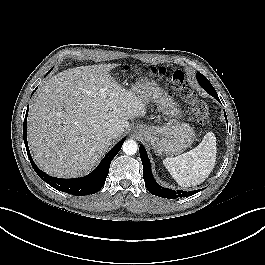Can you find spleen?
Segmentation results:
<instances>
[{
	"label": "spleen",
	"mask_w": 265,
	"mask_h": 265,
	"mask_svg": "<svg viewBox=\"0 0 265 265\" xmlns=\"http://www.w3.org/2000/svg\"><path fill=\"white\" fill-rule=\"evenodd\" d=\"M216 153V137L213 132H208L197 147L177 157L166 158L163 164L180 186H195L212 172Z\"/></svg>",
	"instance_id": "spleen-1"
}]
</instances>
